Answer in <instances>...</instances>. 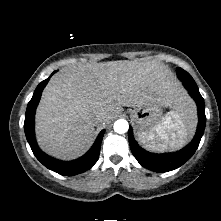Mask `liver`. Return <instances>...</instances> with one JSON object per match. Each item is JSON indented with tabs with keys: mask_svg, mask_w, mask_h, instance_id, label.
<instances>
[{
	"mask_svg": "<svg viewBox=\"0 0 221 221\" xmlns=\"http://www.w3.org/2000/svg\"><path fill=\"white\" fill-rule=\"evenodd\" d=\"M162 102L177 112L194 108L173 73L153 62L110 61L70 66L55 74L36 110L37 142L62 160L82 156L92 145L95 127L105 126L122 106ZM105 121L96 123V115Z\"/></svg>",
	"mask_w": 221,
	"mask_h": 221,
	"instance_id": "6515ba94",
	"label": "liver"
}]
</instances>
